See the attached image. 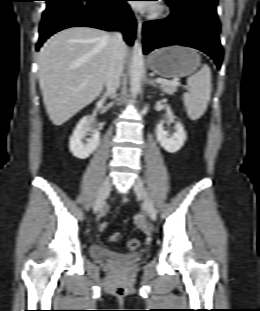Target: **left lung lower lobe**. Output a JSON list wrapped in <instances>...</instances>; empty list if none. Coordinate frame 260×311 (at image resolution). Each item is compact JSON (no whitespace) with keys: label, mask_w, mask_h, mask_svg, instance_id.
<instances>
[{"label":"left lung lower lobe","mask_w":260,"mask_h":311,"mask_svg":"<svg viewBox=\"0 0 260 311\" xmlns=\"http://www.w3.org/2000/svg\"><path fill=\"white\" fill-rule=\"evenodd\" d=\"M169 5L172 13L168 18L144 23V54L163 46L183 45L205 52L219 69L223 52L217 15L195 3Z\"/></svg>","instance_id":"1"}]
</instances>
